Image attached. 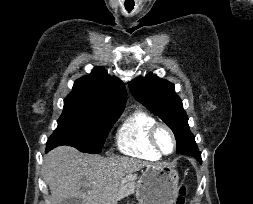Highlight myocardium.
Here are the masks:
<instances>
[{"label": "myocardium", "instance_id": "1", "mask_svg": "<svg viewBox=\"0 0 253 204\" xmlns=\"http://www.w3.org/2000/svg\"><path fill=\"white\" fill-rule=\"evenodd\" d=\"M160 129H165L172 138L173 148L169 153H165L158 144L157 133ZM149 141L154 150L161 156H171L177 150V139L173 130L165 123L156 122L149 131Z\"/></svg>", "mask_w": 253, "mask_h": 204}]
</instances>
